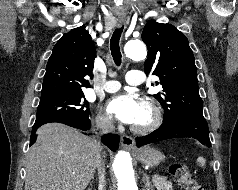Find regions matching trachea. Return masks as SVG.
<instances>
[{
	"label": "trachea",
	"instance_id": "obj_1",
	"mask_svg": "<svg viewBox=\"0 0 238 190\" xmlns=\"http://www.w3.org/2000/svg\"><path fill=\"white\" fill-rule=\"evenodd\" d=\"M122 31H123V26L115 29L110 40L111 54L114 59V62L118 66L121 64V58H122V55L120 52V46H119V41H120Z\"/></svg>",
	"mask_w": 238,
	"mask_h": 190
}]
</instances>
